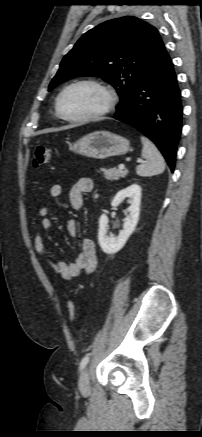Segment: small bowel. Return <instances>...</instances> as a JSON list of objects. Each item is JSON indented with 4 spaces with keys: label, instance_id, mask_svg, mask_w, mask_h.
<instances>
[{
    "label": "small bowel",
    "instance_id": "1",
    "mask_svg": "<svg viewBox=\"0 0 202 437\" xmlns=\"http://www.w3.org/2000/svg\"><path fill=\"white\" fill-rule=\"evenodd\" d=\"M93 189V181L90 178H79L69 189L68 202L74 211L82 210L84 206V195ZM63 194V187L54 184L49 189L52 198H59ZM41 217L39 229L34 236L35 250L43 257L44 262L51 268L56 275L65 280H71L81 274V272L91 273L97 267L96 245L91 239H84L81 243L80 251L75 255L71 262H65L55 256L46 246L41 232L52 228L51 209L42 207L39 210ZM67 231L74 238L77 233V225L74 219L67 222Z\"/></svg>",
    "mask_w": 202,
    "mask_h": 437
}]
</instances>
